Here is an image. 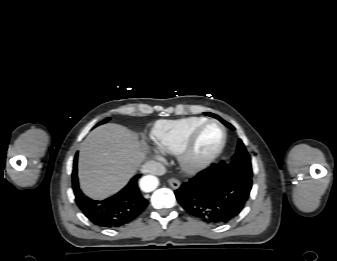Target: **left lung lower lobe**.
<instances>
[{
	"label": "left lung lower lobe",
	"mask_w": 337,
	"mask_h": 261,
	"mask_svg": "<svg viewBox=\"0 0 337 261\" xmlns=\"http://www.w3.org/2000/svg\"><path fill=\"white\" fill-rule=\"evenodd\" d=\"M251 188V177L221 162L183 183L175 195L190 215L209 224H224L240 214Z\"/></svg>",
	"instance_id": "1"
}]
</instances>
